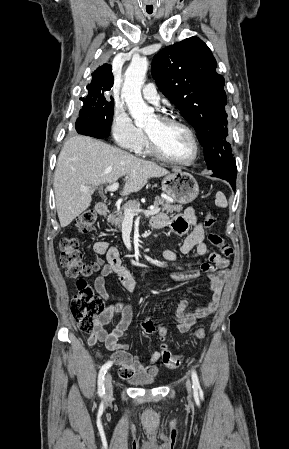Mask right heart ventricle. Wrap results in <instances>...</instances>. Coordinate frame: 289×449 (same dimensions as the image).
Here are the masks:
<instances>
[{"label": "right heart ventricle", "instance_id": "e07e8e85", "mask_svg": "<svg viewBox=\"0 0 289 449\" xmlns=\"http://www.w3.org/2000/svg\"><path fill=\"white\" fill-rule=\"evenodd\" d=\"M137 152L140 154H149L150 153L146 140H144L142 146L139 148V150Z\"/></svg>", "mask_w": 289, "mask_h": 449}]
</instances>
